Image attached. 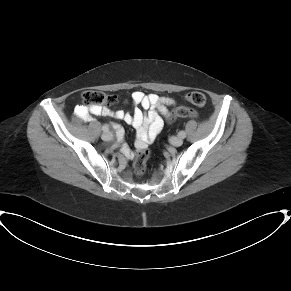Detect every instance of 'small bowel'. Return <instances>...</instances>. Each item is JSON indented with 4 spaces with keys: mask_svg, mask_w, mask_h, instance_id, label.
Here are the masks:
<instances>
[{
    "mask_svg": "<svg viewBox=\"0 0 291 291\" xmlns=\"http://www.w3.org/2000/svg\"><path fill=\"white\" fill-rule=\"evenodd\" d=\"M130 100L137 107L132 113L123 110L113 111L107 107L87 109L83 105H77L74 113L78 118L90 120L93 115L109 116L123 120L137 130V149H143L150 144L163 127L162 116L168 114L170 107L176 105V101L169 97H159L156 94H144L141 91H134ZM115 129L121 133L122 129L115 125ZM121 152L126 158H133L135 152L127 145H121Z\"/></svg>",
    "mask_w": 291,
    "mask_h": 291,
    "instance_id": "small-bowel-1",
    "label": "small bowel"
}]
</instances>
